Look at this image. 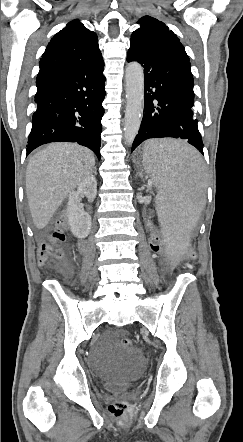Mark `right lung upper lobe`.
Returning a JSON list of instances; mask_svg holds the SVG:
<instances>
[{
  "instance_id": "obj_1",
  "label": "right lung upper lobe",
  "mask_w": 243,
  "mask_h": 442,
  "mask_svg": "<svg viewBox=\"0 0 243 442\" xmlns=\"http://www.w3.org/2000/svg\"><path fill=\"white\" fill-rule=\"evenodd\" d=\"M100 61L103 59L96 33L73 20L49 42L40 60L37 77Z\"/></svg>"
}]
</instances>
